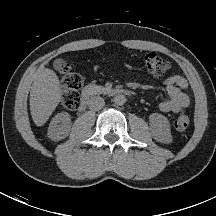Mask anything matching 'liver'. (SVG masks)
<instances>
[{
    "mask_svg": "<svg viewBox=\"0 0 216 216\" xmlns=\"http://www.w3.org/2000/svg\"><path fill=\"white\" fill-rule=\"evenodd\" d=\"M62 100L60 81L56 73L40 66L30 90V111L37 126L44 125Z\"/></svg>",
    "mask_w": 216,
    "mask_h": 216,
    "instance_id": "liver-1",
    "label": "liver"
}]
</instances>
